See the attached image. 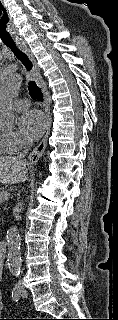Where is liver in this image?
Listing matches in <instances>:
<instances>
[{"label":"liver","instance_id":"1","mask_svg":"<svg viewBox=\"0 0 118 320\" xmlns=\"http://www.w3.org/2000/svg\"><path fill=\"white\" fill-rule=\"evenodd\" d=\"M27 179L26 163L17 157L0 156V183L16 184Z\"/></svg>","mask_w":118,"mask_h":320}]
</instances>
